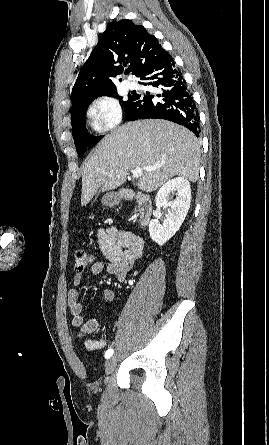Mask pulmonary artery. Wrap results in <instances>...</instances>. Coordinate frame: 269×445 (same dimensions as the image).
<instances>
[{
    "label": "pulmonary artery",
    "mask_w": 269,
    "mask_h": 445,
    "mask_svg": "<svg viewBox=\"0 0 269 445\" xmlns=\"http://www.w3.org/2000/svg\"><path fill=\"white\" fill-rule=\"evenodd\" d=\"M126 86L128 87V88H135L136 87V83L134 82V81H127L126 82Z\"/></svg>",
    "instance_id": "pulmonary-artery-1"
}]
</instances>
